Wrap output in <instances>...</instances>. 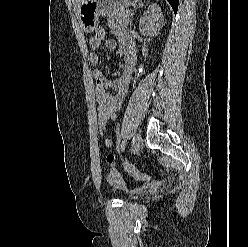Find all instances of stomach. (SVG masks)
<instances>
[{"mask_svg":"<svg viewBox=\"0 0 248 247\" xmlns=\"http://www.w3.org/2000/svg\"><path fill=\"white\" fill-rule=\"evenodd\" d=\"M139 0H83L77 9V17L85 32L91 33L99 23L100 15L128 8Z\"/></svg>","mask_w":248,"mask_h":247,"instance_id":"obj_1","label":"stomach"}]
</instances>
